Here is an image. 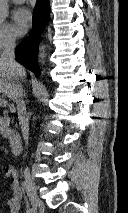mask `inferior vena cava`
<instances>
[{
  "label": "inferior vena cava",
  "instance_id": "602c4592",
  "mask_svg": "<svg viewBox=\"0 0 128 213\" xmlns=\"http://www.w3.org/2000/svg\"><path fill=\"white\" fill-rule=\"evenodd\" d=\"M15 40H16L15 37L11 35L5 38V41L3 43V48H2L1 59L9 66L10 73L15 79V84L10 92V97L13 99V101L17 105L19 124L21 126V131H22L25 143L26 145H28L29 122H28V117L26 114V105L23 100L24 95H23L22 85L20 83L22 66L15 61V55H14L15 46H16Z\"/></svg>",
  "mask_w": 128,
  "mask_h": 213
}]
</instances>
